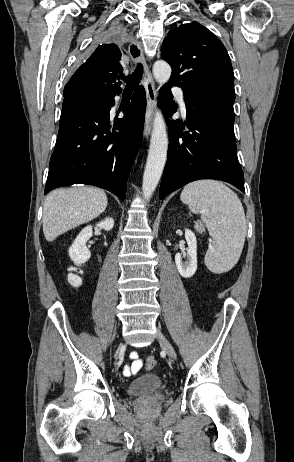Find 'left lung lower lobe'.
I'll return each instance as SVG.
<instances>
[{"instance_id": "1", "label": "left lung lower lobe", "mask_w": 294, "mask_h": 462, "mask_svg": "<svg viewBox=\"0 0 294 462\" xmlns=\"http://www.w3.org/2000/svg\"><path fill=\"white\" fill-rule=\"evenodd\" d=\"M173 85L167 83L160 93L159 102L165 117L176 111L170 91ZM234 100L232 94L216 90L185 94V125L190 132L182 131L179 120L174 125L167 123L170 139L160 199L198 179L222 180L245 193L233 128Z\"/></svg>"}]
</instances>
